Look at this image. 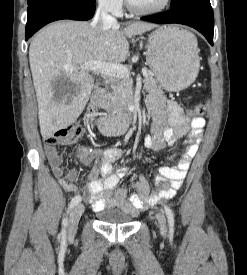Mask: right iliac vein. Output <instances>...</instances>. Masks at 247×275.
<instances>
[{"label": "right iliac vein", "instance_id": "1", "mask_svg": "<svg viewBox=\"0 0 247 275\" xmlns=\"http://www.w3.org/2000/svg\"><path fill=\"white\" fill-rule=\"evenodd\" d=\"M84 212V205L77 204L71 211L69 224H68V231L67 234L69 237H73L77 231L79 220Z\"/></svg>", "mask_w": 247, "mask_h": 275}]
</instances>
